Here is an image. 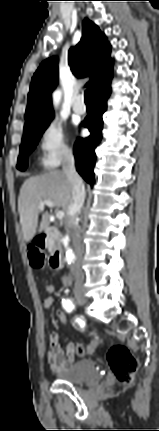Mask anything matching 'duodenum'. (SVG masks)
Segmentation results:
<instances>
[{
	"label": "duodenum",
	"instance_id": "410a0bca",
	"mask_svg": "<svg viewBox=\"0 0 159 431\" xmlns=\"http://www.w3.org/2000/svg\"><path fill=\"white\" fill-rule=\"evenodd\" d=\"M59 236L60 234L58 229L50 226L43 230L42 234L40 235V240L45 243H56L59 240ZM49 263L51 268L55 270L61 269L63 267V253L60 246L55 245L53 248Z\"/></svg>",
	"mask_w": 159,
	"mask_h": 431
}]
</instances>
